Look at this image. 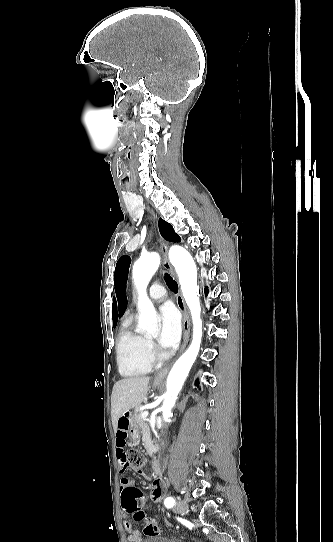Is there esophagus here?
<instances>
[{
  "label": "esophagus",
  "mask_w": 333,
  "mask_h": 542,
  "mask_svg": "<svg viewBox=\"0 0 333 542\" xmlns=\"http://www.w3.org/2000/svg\"><path fill=\"white\" fill-rule=\"evenodd\" d=\"M151 214H152L154 220H156L157 216H156V214H155V212L153 210H151ZM161 250H162L163 257H164V262H163L164 269L168 270V271H170L171 273L174 274L175 273L174 269L170 265V262H169V259H168V243L166 241H164V240H161ZM176 302H177V307L179 308V310L183 314V341H182L181 348L179 350V353H181L185 349V347H186V345L188 343V340H189V336H190V317H189V313H188V311L186 309V306H185V303H184V300H183V297H182V294H181L180 290H179V293L177 295ZM169 368H170V366H165V367H162L160 370H158L157 374L154 377L153 383H158V382L163 381V379L167 376V374L169 372Z\"/></svg>",
  "instance_id": "1"
}]
</instances>
